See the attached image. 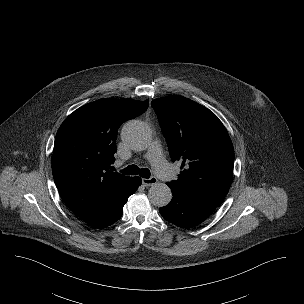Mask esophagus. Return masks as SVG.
I'll list each match as a JSON object with an SVG mask.
<instances>
[{"label": "esophagus", "mask_w": 304, "mask_h": 304, "mask_svg": "<svg viewBox=\"0 0 304 304\" xmlns=\"http://www.w3.org/2000/svg\"><path fill=\"white\" fill-rule=\"evenodd\" d=\"M158 182L156 177H150V178H143L142 179V184L144 186H152Z\"/></svg>", "instance_id": "34e87169"}]
</instances>
